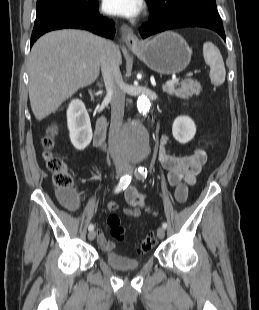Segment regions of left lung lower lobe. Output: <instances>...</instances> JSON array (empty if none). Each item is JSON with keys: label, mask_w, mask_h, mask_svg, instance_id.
Segmentation results:
<instances>
[{"label": "left lung lower lobe", "mask_w": 259, "mask_h": 310, "mask_svg": "<svg viewBox=\"0 0 259 310\" xmlns=\"http://www.w3.org/2000/svg\"><path fill=\"white\" fill-rule=\"evenodd\" d=\"M204 27L217 32L225 41L222 19L217 9L195 7L176 13L169 17L153 20L142 25L139 29L142 38L150 35L181 27Z\"/></svg>", "instance_id": "0a47b994"}]
</instances>
